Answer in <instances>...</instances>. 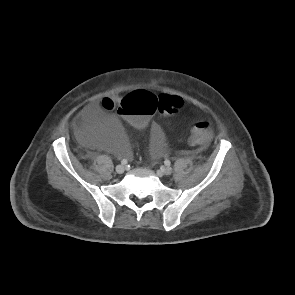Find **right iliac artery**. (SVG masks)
I'll return each mask as SVG.
<instances>
[{
    "label": "right iliac artery",
    "mask_w": 295,
    "mask_h": 295,
    "mask_svg": "<svg viewBox=\"0 0 295 295\" xmlns=\"http://www.w3.org/2000/svg\"><path fill=\"white\" fill-rule=\"evenodd\" d=\"M121 163H122L123 165H125V164H127V160H126V159H123V160L121 161Z\"/></svg>",
    "instance_id": "1"
}]
</instances>
